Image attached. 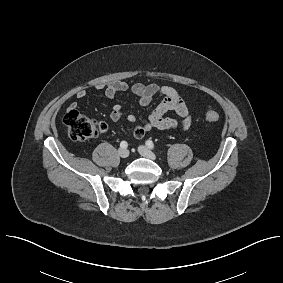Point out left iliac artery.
Listing matches in <instances>:
<instances>
[{
	"instance_id": "obj_1",
	"label": "left iliac artery",
	"mask_w": 283,
	"mask_h": 283,
	"mask_svg": "<svg viewBox=\"0 0 283 283\" xmlns=\"http://www.w3.org/2000/svg\"><path fill=\"white\" fill-rule=\"evenodd\" d=\"M146 145H147L148 148L154 149V144H153V142L151 140H147L146 141Z\"/></svg>"
}]
</instances>
